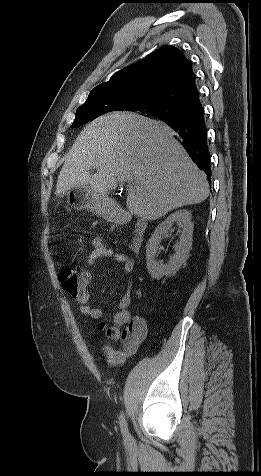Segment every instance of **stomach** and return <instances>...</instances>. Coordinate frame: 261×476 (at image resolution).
Returning a JSON list of instances; mask_svg holds the SVG:
<instances>
[{
  "label": "stomach",
  "instance_id": "obj_1",
  "mask_svg": "<svg viewBox=\"0 0 261 476\" xmlns=\"http://www.w3.org/2000/svg\"><path fill=\"white\" fill-rule=\"evenodd\" d=\"M67 202L78 210H90L108 219H114L110 204L112 200L107 196L92 190L88 186H79L67 192Z\"/></svg>",
  "mask_w": 261,
  "mask_h": 476
}]
</instances>
